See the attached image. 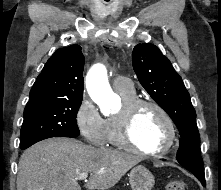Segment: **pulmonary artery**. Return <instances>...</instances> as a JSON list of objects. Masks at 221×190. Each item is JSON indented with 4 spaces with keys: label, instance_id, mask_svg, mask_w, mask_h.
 I'll use <instances>...</instances> for the list:
<instances>
[{
    "label": "pulmonary artery",
    "instance_id": "obj_1",
    "mask_svg": "<svg viewBox=\"0 0 221 190\" xmlns=\"http://www.w3.org/2000/svg\"><path fill=\"white\" fill-rule=\"evenodd\" d=\"M113 88L118 92H129L134 89L130 78L125 76H116L112 80Z\"/></svg>",
    "mask_w": 221,
    "mask_h": 190
}]
</instances>
